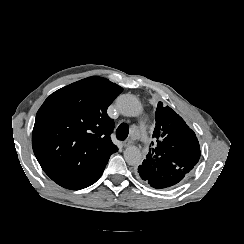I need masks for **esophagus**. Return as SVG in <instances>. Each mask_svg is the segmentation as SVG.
<instances>
[{
	"instance_id": "obj_1",
	"label": "esophagus",
	"mask_w": 244,
	"mask_h": 244,
	"mask_svg": "<svg viewBox=\"0 0 244 244\" xmlns=\"http://www.w3.org/2000/svg\"><path fill=\"white\" fill-rule=\"evenodd\" d=\"M132 144H133L132 140H126V141L123 142V147H128V146H130Z\"/></svg>"
}]
</instances>
